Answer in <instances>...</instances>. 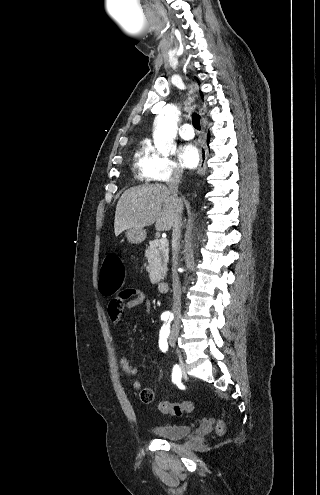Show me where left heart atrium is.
<instances>
[{
  "instance_id": "obj_1",
  "label": "left heart atrium",
  "mask_w": 320,
  "mask_h": 495,
  "mask_svg": "<svg viewBox=\"0 0 320 495\" xmlns=\"http://www.w3.org/2000/svg\"><path fill=\"white\" fill-rule=\"evenodd\" d=\"M179 159L187 168H194L199 163V152L195 145L186 144L179 151Z\"/></svg>"
}]
</instances>
